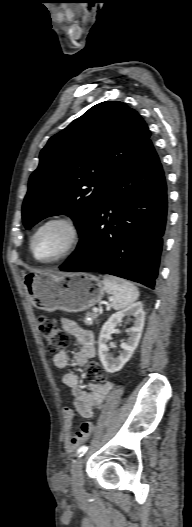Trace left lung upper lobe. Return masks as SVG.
I'll return each instance as SVG.
<instances>
[{"label":"left lung upper lobe","mask_w":192,"mask_h":527,"mask_svg":"<svg viewBox=\"0 0 192 527\" xmlns=\"http://www.w3.org/2000/svg\"><path fill=\"white\" fill-rule=\"evenodd\" d=\"M150 135L140 115L119 101L99 103L75 119L40 153L23 203L25 228L48 216L66 214L81 236L111 183Z\"/></svg>","instance_id":"obj_1"}]
</instances>
